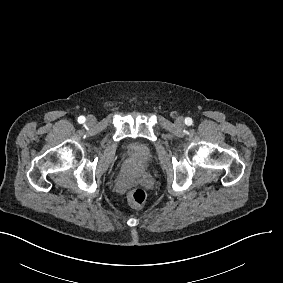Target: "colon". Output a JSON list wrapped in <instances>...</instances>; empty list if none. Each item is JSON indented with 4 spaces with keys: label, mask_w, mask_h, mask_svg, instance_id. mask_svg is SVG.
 Returning a JSON list of instances; mask_svg holds the SVG:
<instances>
[{
    "label": "colon",
    "mask_w": 283,
    "mask_h": 283,
    "mask_svg": "<svg viewBox=\"0 0 283 283\" xmlns=\"http://www.w3.org/2000/svg\"><path fill=\"white\" fill-rule=\"evenodd\" d=\"M128 202L134 207H141L147 200V192L141 188H134L127 196Z\"/></svg>",
    "instance_id": "colon-1"
}]
</instances>
